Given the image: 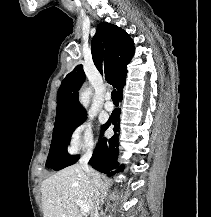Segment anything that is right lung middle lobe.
I'll use <instances>...</instances> for the list:
<instances>
[{
    "mask_svg": "<svg viewBox=\"0 0 211 217\" xmlns=\"http://www.w3.org/2000/svg\"><path fill=\"white\" fill-rule=\"evenodd\" d=\"M85 119L86 116L54 127L50 152L46 161L47 167L60 170L78 161L79 155L71 156L67 153V144L75 128L82 124Z\"/></svg>",
    "mask_w": 211,
    "mask_h": 217,
    "instance_id": "obj_1",
    "label": "right lung middle lobe"
}]
</instances>
